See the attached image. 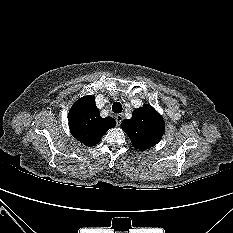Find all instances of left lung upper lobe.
Wrapping results in <instances>:
<instances>
[{
    "mask_svg": "<svg viewBox=\"0 0 233 233\" xmlns=\"http://www.w3.org/2000/svg\"><path fill=\"white\" fill-rule=\"evenodd\" d=\"M133 146L144 151L155 146L162 138L165 124L162 116L150 105L135 109L131 119L121 123Z\"/></svg>",
    "mask_w": 233,
    "mask_h": 233,
    "instance_id": "left-lung-upper-lobe-1",
    "label": "left lung upper lobe"
}]
</instances>
